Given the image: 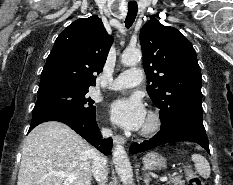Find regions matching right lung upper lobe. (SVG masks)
Segmentation results:
<instances>
[{"instance_id": "right-lung-upper-lobe-1", "label": "right lung upper lobe", "mask_w": 233, "mask_h": 185, "mask_svg": "<svg viewBox=\"0 0 233 185\" xmlns=\"http://www.w3.org/2000/svg\"><path fill=\"white\" fill-rule=\"evenodd\" d=\"M112 41L97 16L74 21L56 39L41 73L39 90L95 86L93 73L102 71Z\"/></svg>"}]
</instances>
